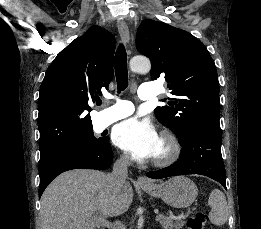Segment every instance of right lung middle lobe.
<instances>
[{
    "label": "right lung middle lobe",
    "instance_id": "right-lung-middle-lobe-1",
    "mask_svg": "<svg viewBox=\"0 0 261 229\" xmlns=\"http://www.w3.org/2000/svg\"><path fill=\"white\" fill-rule=\"evenodd\" d=\"M109 142L108 137L96 138L93 131L83 134L65 144L54 148L42 149L40 150V158L46 157L48 155L69 150H97L102 148L106 143Z\"/></svg>",
    "mask_w": 261,
    "mask_h": 229
}]
</instances>
